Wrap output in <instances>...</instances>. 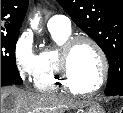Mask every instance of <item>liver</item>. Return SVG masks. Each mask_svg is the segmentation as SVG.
Wrapping results in <instances>:
<instances>
[{"label": "liver", "mask_w": 123, "mask_h": 113, "mask_svg": "<svg viewBox=\"0 0 123 113\" xmlns=\"http://www.w3.org/2000/svg\"><path fill=\"white\" fill-rule=\"evenodd\" d=\"M82 102L56 94H39L17 87L1 88V113H64Z\"/></svg>", "instance_id": "liver-1"}]
</instances>
